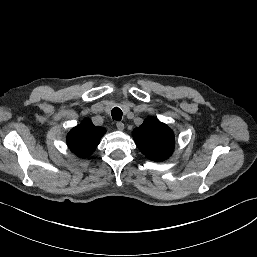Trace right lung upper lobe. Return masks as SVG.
Segmentation results:
<instances>
[{"instance_id":"right-lung-upper-lobe-1","label":"right lung upper lobe","mask_w":257,"mask_h":257,"mask_svg":"<svg viewBox=\"0 0 257 257\" xmlns=\"http://www.w3.org/2000/svg\"><path fill=\"white\" fill-rule=\"evenodd\" d=\"M105 132L104 128L95 127L91 120L85 119L68 133V147L79 157L86 158L94 152Z\"/></svg>"}]
</instances>
